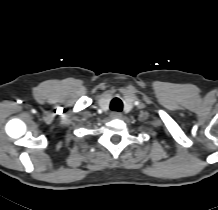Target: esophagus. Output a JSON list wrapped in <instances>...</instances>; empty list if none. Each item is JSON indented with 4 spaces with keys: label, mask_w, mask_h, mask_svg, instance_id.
<instances>
[{
    "label": "esophagus",
    "mask_w": 218,
    "mask_h": 210,
    "mask_svg": "<svg viewBox=\"0 0 218 210\" xmlns=\"http://www.w3.org/2000/svg\"><path fill=\"white\" fill-rule=\"evenodd\" d=\"M121 116H122V114L120 112H112L111 113L112 118H120Z\"/></svg>",
    "instance_id": "1"
}]
</instances>
